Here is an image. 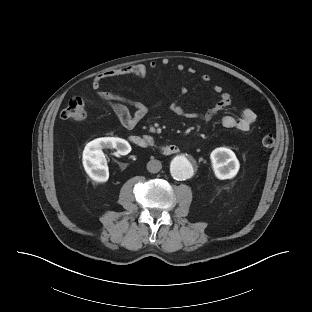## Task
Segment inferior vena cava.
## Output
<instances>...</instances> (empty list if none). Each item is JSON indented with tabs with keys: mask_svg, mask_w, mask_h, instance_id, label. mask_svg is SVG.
<instances>
[{
	"mask_svg": "<svg viewBox=\"0 0 312 312\" xmlns=\"http://www.w3.org/2000/svg\"><path fill=\"white\" fill-rule=\"evenodd\" d=\"M162 164L159 160L153 159L147 163V170L151 173H157L161 170Z\"/></svg>",
	"mask_w": 312,
	"mask_h": 312,
	"instance_id": "1",
	"label": "inferior vena cava"
}]
</instances>
